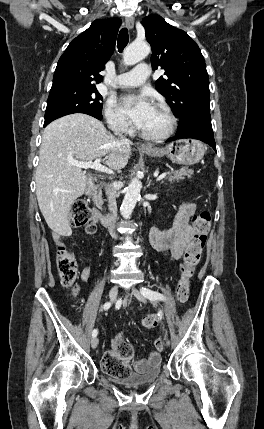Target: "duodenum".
Returning a JSON list of instances; mask_svg holds the SVG:
<instances>
[{"instance_id":"1","label":"duodenum","mask_w":264,"mask_h":429,"mask_svg":"<svg viewBox=\"0 0 264 429\" xmlns=\"http://www.w3.org/2000/svg\"><path fill=\"white\" fill-rule=\"evenodd\" d=\"M94 184H95V180L93 178H90L87 182L85 193L90 198L94 197ZM95 204L98 207V204L97 203H95ZM112 216L113 215L111 213L103 214L98 210L95 213L96 220L99 221L103 226H109L110 221H111L110 218Z\"/></svg>"}]
</instances>
